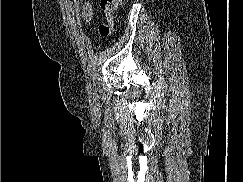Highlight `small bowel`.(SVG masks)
<instances>
[{
  "mask_svg": "<svg viewBox=\"0 0 243 182\" xmlns=\"http://www.w3.org/2000/svg\"><path fill=\"white\" fill-rule=\"evenodd\" d=\"M82 17L85 21H90L93 17V8L90 3H84L82 6Z\"/></svg>",
  "mask_w": 243,
  "mask_h": 182,
  "instance_id": "small-bowel-1",
  "label": "small bowel"
}]
</instances>
